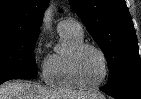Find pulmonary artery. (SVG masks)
<instances>
[{"mask_svg": "<svg viewBox=\"0 0 141 99\" xmlns=\"http://www.w3.org/2000/svg\"><path fill=\"white\" fill-rule=\"evenodd\" d=\"M58 32L60 34L69 33L77 36H83V28L79 22L74 19H64L58 23Z\"/></svg>", "mask_w": 141, "mask_h": 99, "instance_id": "e3ab8cb5", "label": "pulmonary artery"}]
</instances>
